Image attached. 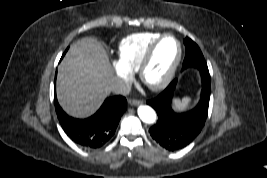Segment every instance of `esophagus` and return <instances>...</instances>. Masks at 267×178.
<instances>
[{
    "mask_svg": "<svg viewBox=\"0 0 267 178\" xmlns=\"http://www.w3.org/2000/svg\"><path fill=\"white\" fill-rule=\"evenodd\" d=\"M128 103H129L130 105H132V106H136V105L141 104L142 101H141V100H137V99H130V100L128 101Z\"/></svg>",
    "mask_w": 267,
    "mask_h": 178,
    "instance_id": "obj_1",
    "label": "esophagus"
}]
</instances>
